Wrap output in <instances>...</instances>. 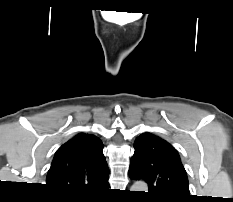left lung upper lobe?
<instances>
[{"label": "left lung upper lobe", "mask_w": 233, "mask_h": 202, "mask_svg": "<svg viewBox=\"0 0 233 202\" xmlns=\"http://www.w3.org/2000/svg\"><path fill=\"white\" fill-rule=\"evenodd\" d=\"M129 175L144 179L149 198L157 202H186L190 199L186 171L178 152L164 139L151 133L136 138Z\"/></svg>", "instance_id": "obj_1"}]
</instances>
